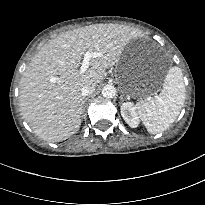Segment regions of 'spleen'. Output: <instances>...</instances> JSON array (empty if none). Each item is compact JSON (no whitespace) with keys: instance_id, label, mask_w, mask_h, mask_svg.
Wrapping results in <instances>:
<instances>
[{"instance_id":"obj_1","label":"spleen","mask_w":205,"mask_h":205,"mask_svg":"<svg viewBox=\"0 0 205 205\" xmlns=\"http://www.w3.org/2000/svg\"><path fill=\"white\" fill-rule=\"evenodd\" d=\"M186 90L182 70L171 67L165 77L162 91L154 99L138 101L136 109L150 134L165 131L176 120L184 105Z\"/></svg>"}]
</instances>
